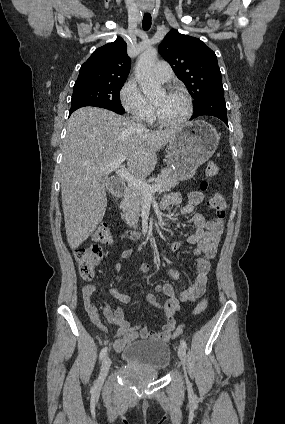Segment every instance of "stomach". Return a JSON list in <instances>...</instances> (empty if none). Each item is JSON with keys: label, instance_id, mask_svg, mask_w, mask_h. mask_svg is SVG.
Wrapping results in <instances>:
<instances>
[{"label": "stomach", "instance_id": "obj_1", "mask_svg": "<svg viewBox=\"0 0 285 424\" xmlns=\"http://www.w3.org/2000/svg\"><path fill=\"white\" fill-rule=\"evenodd\" d=\"M218 143L219 135L209 123L202 120L187 123L169 142L168 169L179 181L191 178L214 154Z\"/></svg>", "mask_w": 285, "mask_h": 424}]
</instances>
